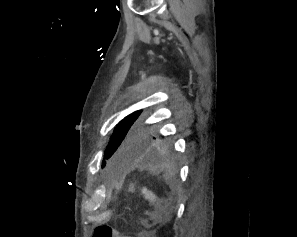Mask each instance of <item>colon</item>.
<instances>
[{"mask_svg": "<svg viewBox=\"0 0 297 237\" xmlns=\"http://www.w3.org/2000/svg\"><path fill=\"white\" fill-rule=\"evenodd\" d=\"M93 237H130V236L120 234L119 232L114 230L111 226L101 225L95 229Z\"/></svg>", "mask_w": 297, "mask_h": 237, "instance_id": "5ec220e1", "label": "colon"}]
</instances>
